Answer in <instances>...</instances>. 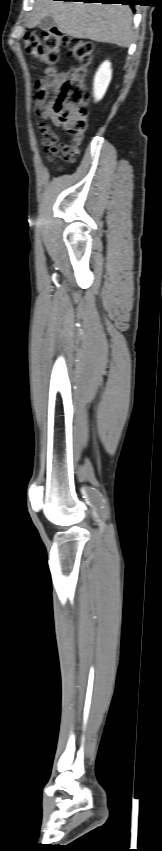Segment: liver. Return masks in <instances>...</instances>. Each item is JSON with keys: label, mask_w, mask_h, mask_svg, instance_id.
Returning a JSON list of instances; mask_svg holds the SVG:
<instances>
[{"label": "liver", "mask_w": 162, "mask_h": 851, "mask_svg": "<svg viewBox=\"0 0 162 851\" xmlns=\"http://www.w3.org/2000/svg\"><path fill=\"white\" fill-rule=\"evenodd\" d=\"M48 16L54 18L59 31L74 38L124 48L133 40L132 11L126 5L36 0L27 27H35Z\"/></svg>", "instance_id": "6515ba94"}]
</instances>
